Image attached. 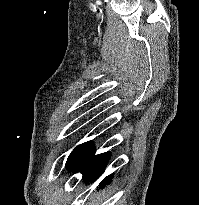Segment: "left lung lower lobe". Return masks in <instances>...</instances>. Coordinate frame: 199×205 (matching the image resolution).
Segmentation results:
<instances>
[{"label": "left lung lower lobe", "mask_w": 199, "mask_h": 205, "mask_svg": "<svg viewBox=\"0 0 199 205\" xmlns=\"http://www.w3.org/2000/svg\"><path fill=\"white\" fill-rule=\"evenodd\" d=\"M110 155V152H105L95 156V146L92 141H88L84 144L70 171L74 173L81 172L86 183L94 182L104 172ZM110 182L111 175L106 177L99 184V187L102 189Z\"/></svg>", "instance_id": "left-lung-lower-lobe-1"}]
</instances>
